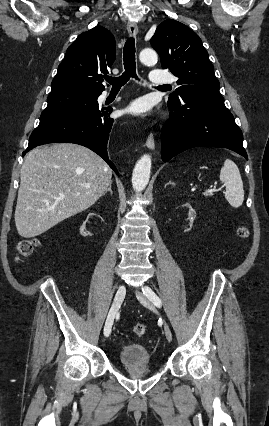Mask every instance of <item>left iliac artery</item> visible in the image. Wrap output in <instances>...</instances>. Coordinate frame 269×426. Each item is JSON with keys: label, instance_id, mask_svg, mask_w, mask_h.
<instances>
[{"label": "left iliac artery", "instance_id": "obj_1", "mask_svg": "<svg viewBox=\"0 0 269 426\" xmlns=\"http://www.w3.org/2000/svg\"><path fill=\"white\" fill-rule=\"evenodd\" d=\"M143 294L157 307L161 306V300L159 297L149 288L145 287L142 289Z\"/></svg>", "mask_w": 269, "mask_h": 426}]
</instances>
